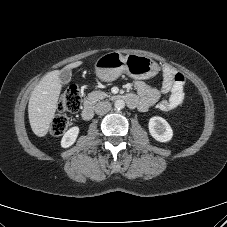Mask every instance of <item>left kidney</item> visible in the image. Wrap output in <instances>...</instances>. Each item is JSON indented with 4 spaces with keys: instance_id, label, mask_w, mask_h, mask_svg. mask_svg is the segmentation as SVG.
Here are the masks:
<instances>
[{
    "instance_id": "left-kidney-1",
    "label": "left kidney",
    "mask_w": 227,
    "mask_h": 227,
    "mask_svg": "<svg viewBox=\"0 0 227 227\" xmlns=\"http://www.w3.org/2000/svg\"><path fill=\"white\" fill-rule=\"evenodd\" d=\"M151 136L159 142H168L172 139L173 130L169 123L162 117L154 116L150 118L148 124Z\"/></svg>"
}]
</instances>
